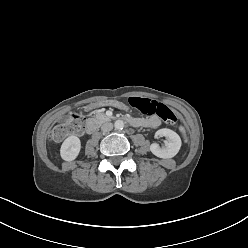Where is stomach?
Segmentation results:
<instances>
[{"instance_id":"obj_1","label":"stomach","mask_w":248,"mask_h":248,"mask_svg":"<svg viewBox=\"0 0 248 248\" xmlns=\"http://www.w3.org/2000/svg\"><path fill=\"white\" fill-rule=\"evenodd\" d=\"M107 106H114L119 111H121L123 113L128 112V106L126 104L122 103L118 99H104L103 101H98L97 104H96L97 108H104V107H107Z\"/></svg>"}]
</instances>
